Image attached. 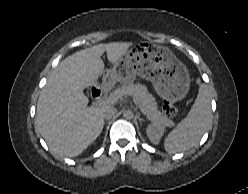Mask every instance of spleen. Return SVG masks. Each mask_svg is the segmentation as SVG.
<instances>
[{
  "label": "spleen",
  "instance_id": "spleen-1",
  "mask_svg": "<svg viewBox=\"0 0 248 194\" xmlns=\"http://www.w3.org/2000/svg\"><path fill=\"white\" fill-rule=\"evenodd\" d=\"M211 125V97L208 86L201 84L188 116L165 138L164 148L169 154L189 150L199 142Z\"/></svg>",
  "mask_w": 248,
  "mask_h": 194
}]
</instances>
